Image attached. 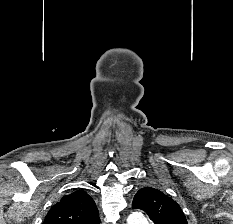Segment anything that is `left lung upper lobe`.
Returning <instances> with one entry per match:
<instances>
[{
    "instance_id": "left-lung-upper-lobe-1",
    "label": "left lung upper lobe",
    "mask_w": 233,
    "mask_h": 224,
    "mask_svg": "<svg viewBox=\"0 0 233 224\" xmlns=\"http://www.w3.org/2000/svg\"><path fill=\"white\" fill-rule=\"evenodd\" d=\"M132 208L145 211L154 224H188L180 206L152 187H144L136 193Z\"/></svg>"
}]
</instances>
